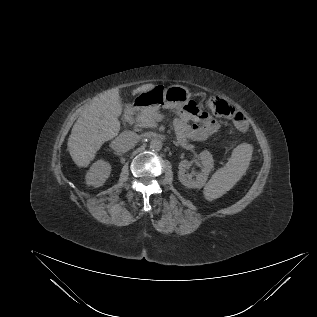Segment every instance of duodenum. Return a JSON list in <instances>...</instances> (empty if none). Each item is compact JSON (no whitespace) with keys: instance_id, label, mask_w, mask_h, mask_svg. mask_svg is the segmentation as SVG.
Here are the masks:
<instances>
[{"instance_id":"duodenum-1","label":"duodenum","mask_w":317,"mask_h":317,"mask_svg":"<svg viewBox=\"0 0 317 317\" xmlns=\"http://www.w3.org/2000/svg\"><path fill=\"white\" fill-rule=\"evenodd\" d=\"M137 108H138V103H132L126 108V110L124 112V121L125 122L129 123L132 121L133 116H134Z\"/></svg>"}]
</instances>
